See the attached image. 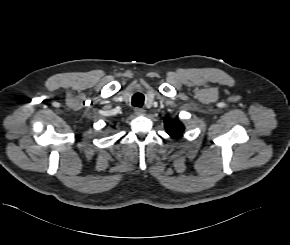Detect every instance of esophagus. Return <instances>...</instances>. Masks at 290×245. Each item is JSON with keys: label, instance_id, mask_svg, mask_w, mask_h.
Instances as JSON below:
<instances>
[{"label": "esophagus", "instance_id": "34e87169", "mask_svg": "<svg viewBox=\"0 0 290 245\" xmlns=\"http://www.w3.org/2000/svg\"><path fill=\"white\" fill-rule=\"evenodd\" d=\"M144 113H145V111H144V109H142V108H135V109H134V114H135L136 116H142V115H144Z\"/></svg>", "mask_w": 290, "mask_h": 245}]
</instances>
